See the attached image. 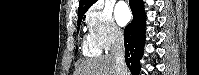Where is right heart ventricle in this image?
I'll return each mask as SVG.
<instances>
[{"label":"right heart ventricle","instance_id":"obj_1","mask_svg":"<svg viewBox=\"0 0 199 75\" xmlns=\"http://www.w3.org/2000/svg\"><path fill=\"white\" fill-rule=\"evenodd\" d=\"M83 53L86 56H97L101 53V48L94 42L91 35H87L84 38Z\"/></svg>","mask_w":199,"mask_h":75}]
</instances>
